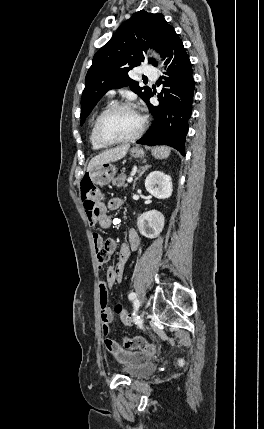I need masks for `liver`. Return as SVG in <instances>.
Returning <instances> with one entry per match:
<instances>
[{
	"mask_svg": "<svg viewBox=\"0 0 264 429\" xmlns=\"http://www.w3.org/2000/svg\"><path fill=\"white\" fill-rule=\"evenodd\" d=\"M130 148V145H122L118 146L116 148H112L110 150H106L94 158H92L88 164L87 171H90L95 166L109 163V162H115L125 157L128 150Z\"/></svg>",
	"mask_w": 264,
	"mask_h": 429,
	"instance_id": "obj_1",
	"label": "liver"
}]
</instances>
